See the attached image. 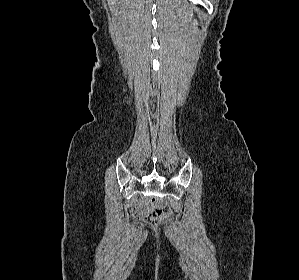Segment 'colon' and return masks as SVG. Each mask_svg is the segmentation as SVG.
I'll use <instances>...</instances> for the list:
<instances>
[{
    "label": "colon",
    "mask_w": 299,
    "mask_h": 280,
    "mask_svg": "<svg viewBox=\"0 0 299 280\" xmlns=\"http://www.w3.org/2000/svg\"><path fill=\"white\" fill-rule=\"evenodd\" d=\"M171 214V210L168 206L155 202L152 210L147 215V221L150 224H156L168 217Z\"/></svg>",
    "instance_id": "colon-1"
}]
</instances>
